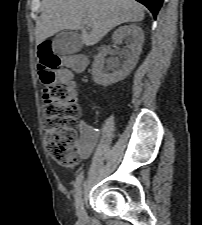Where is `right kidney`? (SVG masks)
Instances as JSON below:
<instances>
[{"label":"right kidney","instance_id":"ca27d5eb","mask_svg":"<svg viewBox=\"0 0 202 225\" xmlns=\"http://www.w3.org/2000/svg\"><path fill=\"white\" fill-rule=\"evenodd\" d=\"M114 43L121 44L123 40L127 43V49L123 50V64L118 60H110L107 68H104L106 47H102L95 57L92 76L94 82L98 85L108 86L125 79L135 68L144 43V34L142 29L136 24L119 27L112 36ZM113 68H117L114 70ZM109 71H113L110 73Z\"/></svg>","mask_w":202,"mask_h":225}]
</instances>
